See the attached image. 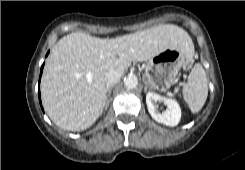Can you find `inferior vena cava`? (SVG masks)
I'll list each match as a JSON object with an SVG mask.
<instances>
[{
	"mask_svg": "<svg viewBox=\"0 0 245 170\" xmlns=\"http://www.w3.org/2000/svg\"><path fill=\"white\" fill-rule=\"evenodd\" d=\"M123 74H124L123 71H117V70H113V69L108 71L105 74V78H104L107 88L116 84L120 80V78Z\"/></svg>",
	"mask_w": 245,
	"mask_h": 170,
	"instance_id": "obj_1",
	"label": "inferior vena cava"
}]
</instances>
